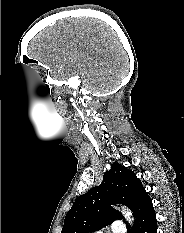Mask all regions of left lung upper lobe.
Instances as JSON below:
<instances>
[{"instance_id": "1", "label": "left lung upper lobe", "mask_w": 184, "mask_h": 233, "mask_svg": "<svg viewBox=\"0 0 184 233\" xmlns=\"http://www.w3.org/2000/svg\"><path fill=\"white\" fill-rule=\"evenodd\" d=\"M146 194L140 179L125 166L113 163L103 175L102 183L79 196L68 211L61 233H90L110 225L123 215L110 208L126 205L132 212Z\"/></svg>"}]
</instances>
